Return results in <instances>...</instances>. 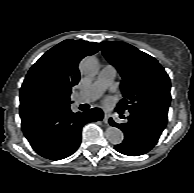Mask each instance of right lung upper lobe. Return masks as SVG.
Segmentation results:
<instances>
[{"label": "right lung upper lobe", "instance_id": "right-lung-upper-lobe-1", "mask_svg": "<svg viewBox=\"0 0 194 193\" xmlns=\"http://www.w3.org/2000/svg\"><path fill=\"white\" fill-rule=\"evenodd\" d=\"M98 43L65 40L47 51L29 70L20 90V116L69 105L80 80L78 63L95 54Z\"/></svg>", "mask_w": 194, "mask_h": 193}]
</instances>
